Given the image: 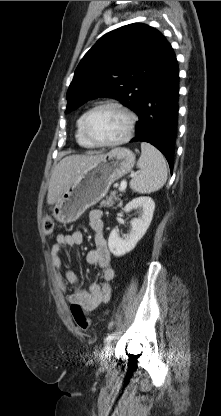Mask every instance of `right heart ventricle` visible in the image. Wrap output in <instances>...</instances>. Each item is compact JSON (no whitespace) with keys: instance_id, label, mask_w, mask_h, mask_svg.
<instances>
[{"instance_id":"right-heart-ventricle-1","label":"right heart ventricle","mask_w":221,"mask_h":416,"mask_svg":"<svg viewBox=\"0 0 221 416\" xmlns=\"http://www.w3.org/2000/svg\"><path fill=\"white\" fill-rule=\"evenodd\" d=\"M84 115L85 113H83L77 120L75 137L79 145L86 147V148H92L94 147V145L84 136L83 131H82V120H83Z\"/></svg>"}]
</instances>
